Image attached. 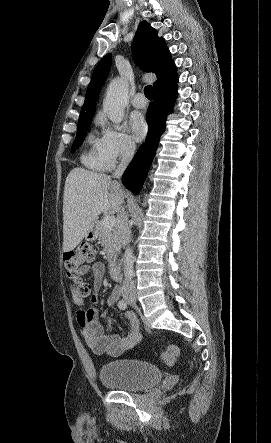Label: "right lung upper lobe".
<instances>
[{"label": "right lung upper lobe", "instance_id": "cb5924a9", "mask_svg": "<svg viewBox=\"0 0 271 443\" xmlns=\"http://www.w3.org/2000/svg\"><path fill=\"white\" fill-rule=\"evenodd\" d=\"M132 53L135 61L144 71L156 74L154 89L177 79L176 67L165 40L158 37V31L146 21H142L138 26L132 43ZM111 61L112 55L107 54L95 67L79 119L93 117L96 100L110 70Z\"/></svg>", "mask_w": 271, "mask_h": 443}]
</instances>
